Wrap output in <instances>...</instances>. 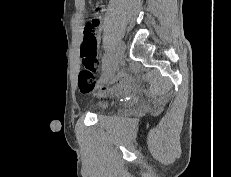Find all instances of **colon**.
Instances as JSON below:
<instances>
[{"label": "colon", "mask_w": 231, "mask_h": 177, "mask_svg": "<svg viewBox=\"0 0 231 177\" xmlns=\"http://www.w3.org/2000/svg\"><path fill=\"white\" fill-rule=\"evenodd\" d=\"M97 33L92 25H87L84 30V38L80 49L83 69L79 73L78 87L82 93H88L96 88L95 72L98 68L96 57ZM101 92L106 88H100Z\"/></svg>", "instance_id": "5ec220e1"}]
</instances>
